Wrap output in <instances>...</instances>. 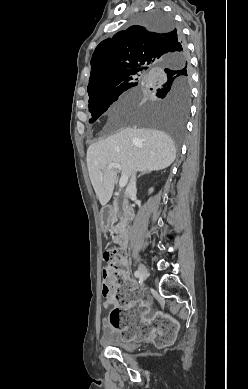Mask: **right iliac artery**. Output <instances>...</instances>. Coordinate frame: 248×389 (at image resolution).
<instances>
[{"mask_svg": "<svg viewBox=\"0 0 248 389\" xmlns=\"http://www.w3.org/2000/svg\"><path fill=\"white\" fill-rule=\"evenodd\" d=\"M134 275H135L136 278H139V277H140L139 271H135V272H134Z\"/></svg>", "mask_w": 248, "mask_h": 389, "instance_id": "1", "label": "right iliac artery"}]
</instances>
